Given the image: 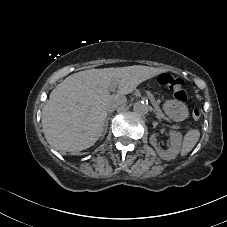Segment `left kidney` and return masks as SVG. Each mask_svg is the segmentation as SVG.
<instances>
[{"label":"left kidney","mask_w":227,"mask_h":227,"mask_svg":"<svg viewBox=\"0 0 227 227\" xmlns=\"http://www.w3.org/2000/svg\"><path fill=\"white\" fill-rule=\"evenodd\" d=\"M159 135L158 132L152 133L149 136V143L151 146H153L156 150L157 155L163 159V160H174L177 156V153L180 150L181 147V141L182 137L181 134L175 132V131H170L168 133L169 135V140H170V148L167 152L157 148V140L156 137Z\"/></svg>","instance_id":"obj_1"}]
</instances>
